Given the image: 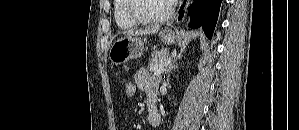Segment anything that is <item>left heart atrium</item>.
<instances>
[{"mask_svg": "<svg viewBox=\"0 0 299 130\" xmlns=\"http://www.w3.org/2000/svg\"><path fill=\"white\" fill-rule=\"evenodd\" d=\"M170 4H174L175 2H177L176 0H169L168 1Z\"/></svg>", "mask_w": 299, "mask_h": 130, "instance_id": "1", "label": "left heart atrium"}]
</instances>
